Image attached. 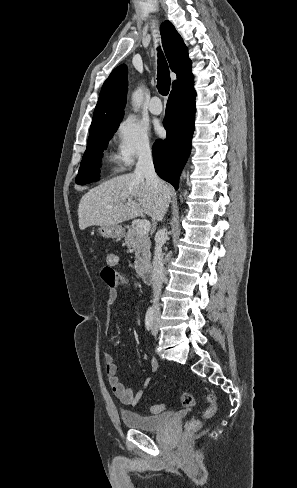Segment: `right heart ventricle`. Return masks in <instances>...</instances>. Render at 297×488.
Returning <instances> with one entry per match:
<instances>
[{
  "mask_svg": "<svg viewBox=\"0 0 297 488\" xmlns=\"http://www.w3.org/2000/svg\"><path fill=\"white\" fill-rule=\"evenodd\" d=\"M110 161H111V162H115V159L111 157V158H110Z\"/></svg>",
  "mask_w": 297,
  "mask_h": 488,
  "instance_id": "obj_1",
  "label": "right heart ventricle"
}]
</instances>
